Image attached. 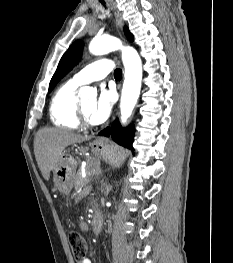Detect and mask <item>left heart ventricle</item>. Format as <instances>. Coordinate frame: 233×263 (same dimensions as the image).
I'll return each mask as SVG.
<instances>
[{
	"label": "left heart ventricle",
	"mask_w": 233,
	"mask_h": 263,
	"mask_svg": "<svg viewBox=\"0 0 233 263\" xmlns=\"http://www.w3.org/2000/svg\"><path fill=\"white\" fill-rule=\"evenodd\" d=\"M94 105H95V101H88V102L82 104L83 110H84V112L88 118L90 116V113H91Z\"/></svg>",
	"instance_id": "left-heart-ventricle-1"
}]
</instances>
